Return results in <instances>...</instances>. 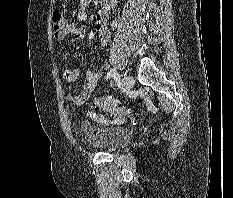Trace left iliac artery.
Instances as JSON below:
<instances>
[{
    "instance_id": "1",
    "label": "left iliac artery",
    "mask_w": 233,
    "mask_h": 198,
    "mask_svg": "<svg viewBox=\"0 0 233 198\" xmlns=\"http://www.w3.org/2000/svg\"><path fill=\"white\" fill-rule=\"evenodd\" d=\"M117 74V71L115 68H111L108 72H107V75H106V79H110L113 75H116Z\"/></svg>"
}]
</instances>
